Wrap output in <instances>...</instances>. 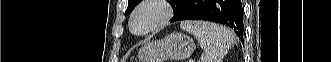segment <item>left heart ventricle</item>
Returning <instances> with one entry per match:
<instances>
[{
    "mask_svg": "<svg viewBox=\"0 0 331 62\" xmlns=\"http://www.w3.org/2000/svg\"><path fill=\"white\" fill-rule=\"evenodd\" d=\"M157 10L154 8L148 9L145 11L136 21L135 28L136 30H143L146 28L152 19L156 16Z\"/></svg>",
    "mask_w": 331,
    "mask_h": 62,
    "instance_id": "1",
    "label": "left heart ventricle"
}]
</instances>
